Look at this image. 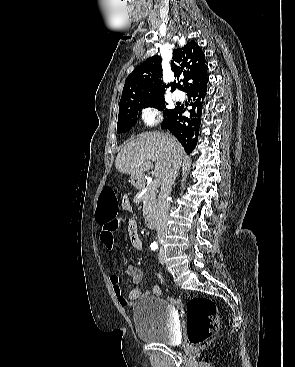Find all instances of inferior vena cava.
Here are the masks:
<instances>
[{
    "label": "inferior vena cava",
    "instance_id": "obj_1",
    "mask_svg": "<svg viewBox=\"0 0 295 367\" xmlns=\"http://www.w3.org/2000/svg\"><path fill=\"white\" fill-rule=\"evenodd\" d=\"M181 165V164H180ZM178 164H174L170 172L163 179L159 197H158V209H157V222L156 231L159 243L162 242L167 233V218L170 209V203L168 197L172 190V185L177 176V170L179 169Z\"/></svg>",
    "mask_w": 295,
    "mask_h": 367
}]
</instances>
